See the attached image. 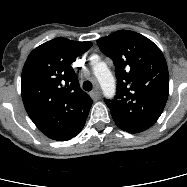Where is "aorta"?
Instances as JSON below:
<instances>
[{
	"label": "aorta",
	"instance_id": "1",
	"mask_svg": "<svg viewBox=\"0 0 187 187\" xmlns=\"http://www.w3.org/2000/svg\"><path fill=\"white\" fill-rule=\"evenodd\" d=\"M94 75L96 76L104 96L112 98L115 95V80L104 62H97L93 64Z\"/></svg>",
	"mask_w": 187,
	"mask_h": 187
}]
</instances>
